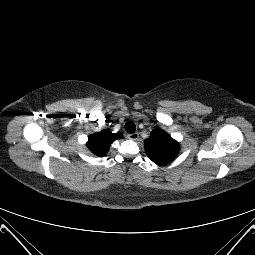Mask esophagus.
Segmentation results:
<instances>
[{"label": "esophagus", "mask_w": 255, "mask_h": 255, "mask_svg": "<svg viewBox=\"0 0 255 255\" xmlns=\"http://www.w3.org/2000/svg\"><path fill=\"white\" fill-rule=\"evenodd\" d=\"M127 138L135 141L139 138V133L135 132V133L128 134Z\"/></svg>", "instance_id": "esophagus-1"}]
</instances>
